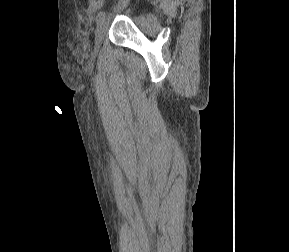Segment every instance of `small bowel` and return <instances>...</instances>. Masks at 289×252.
Masks as SVG:
<instances>
[{"mask_svg": "<svg viewBox=\"0 0 289 252\" xmlns=\"http://www.w3.org/2000/svg\"><path fill=\"white\" fill-rule=\"evenodd\" d=\"M85 1H86V11L90 14L97 12L105 4V0H85Z\"/></svg>", "mask_w": 289, "mask_h": 252, "instance_id": "c3829d8e", "label": "small bowel"}]
</instances>
